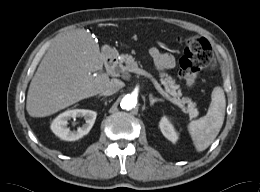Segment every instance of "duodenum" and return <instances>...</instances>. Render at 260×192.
Segmentation results:
<instances>
[{"mask_svg":"<svg viewBox=\"0 0 260 192\" xmlns=\"http://www.w3.org/2000/svg\"><path fill=\"white\" fill-rule=\"evenodd\" d=\"M117 63V57L115 55H108L105 58V66L108 70H111L114 68V66Z\"/></svg>","mask_w":260,"mask_h":192,"instance_id":"410a0bca","label":"duodenum"}]
</instances>
